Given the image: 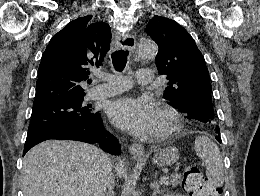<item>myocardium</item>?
I'll use <instances>...</instances> for the list:
<instances>
[{
	"mask_svg": "<svg viewBox=\"0 0 260 196\" xmlns=\"http://www.w3.org/2000/svg\"><path fill=\"white\" fill-rule=\"evenodd\" d=\"M156 109L160 116V122L152 130V135L155 138L167 137L180 128L181 117L175 108L166 102L158 101Z\"/></svg>",
	"mask_w": 260,
	"mask_h": 196,
	"instance_id": "1",
	"label": "myocardium"
}]
</instances>
